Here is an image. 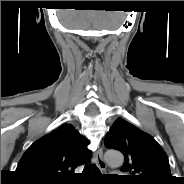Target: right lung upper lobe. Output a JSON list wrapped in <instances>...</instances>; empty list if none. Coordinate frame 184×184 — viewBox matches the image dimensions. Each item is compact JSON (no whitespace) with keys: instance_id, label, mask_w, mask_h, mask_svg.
<instances>
[{"instance_id":"obj_1","label":"right lung upper lobe","mask_w":184,"mask_h":184,"mask_svg":"<svg viewBox=\"0 0 184 184\" xmlns=\"http://www.w3.org/2000/svg\"><path fill=\"white\" fill-rule=\"evenodd\" d=\"M89 141L71 124H63L35 141L18 163L17 173L28 182L62 184L76 167L90 161Z\"/></svg>"}]
</instances>
